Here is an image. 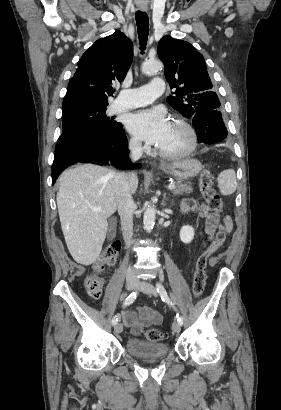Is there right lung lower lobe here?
Here are the masks:
<instances>
[{"label": "right lung lower lobe", "mask_w": 281, "mask_h": 410, "mask_svg": "<svg viewBox=\"0 0 281 410\" xmlns=\"http://www.w3.org/2000/svg\"><path fill=\"white\" fill-rule=\"evenodd\" d=\"M127 137L123 128L107 134H84L57 143L52 165V184L60 173L76 163L112 164L119 169H134L127 158Z\"/></svg>", "instance_id": "obj_1"}]
</instances>
